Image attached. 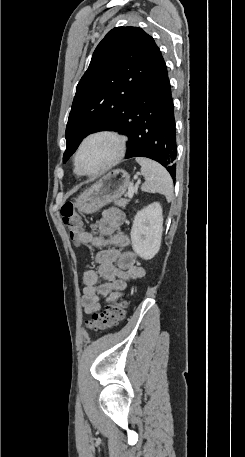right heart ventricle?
Returning a JSON list of instances; mask_svg holds the SVG:
<instances>
[{"mask_svg": "<svg viewBox=\"0 0 245 457\" xmlns=\"http://www.w3.org/2000/svg\"><path fill=\"white\" fill-rule=\"evenodd\" d=\"M75 172L77 175H80L81 173L79 172V170L77 169V167L75 168Z\"/></svg>", "mask_w": 245, "mask_h": 457, "instance_id": "e07e8e85", "label": "right heart ventricle"}]
</instances>
